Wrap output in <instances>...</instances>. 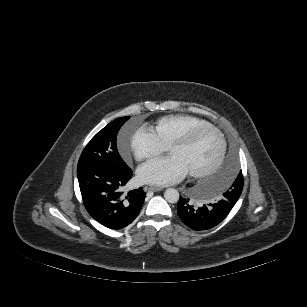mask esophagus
I'll return each mask as SVG.
<instances>
[{"label": "esophagus", "instance_id": "34e87169", "mask_svg": "<svg viewBox=\"0 0 307 307\" xmlns=\"http://www.w3.org/2000/svg\"><path fill=\"white\" fill-rule=\"evenodd\" d=\"M146 191H154V192H157V191H161L162 188L160 187H155V186H146L144 188Z\"/></svg>", "mask_w": 307, "mask_h": 307}]
</instances>
